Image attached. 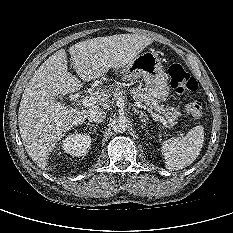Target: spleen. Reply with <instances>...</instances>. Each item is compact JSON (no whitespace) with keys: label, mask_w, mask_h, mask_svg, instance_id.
<instances>
[{"label":"spleen","mask_w":233,"mask_h":233,"mask_svg":"<svg viewBox=\"0 0 233 233\" xmlns=\"http://www.w3.org/2000/svg\"><path fill=\"white\" fill-rule=\"evenodd\" d=\"M204 143V128L195 126L184 137H174L163 141L161 151L165 159L166 168L180 170L190 164L200 154Z\"/></svg>","instance_id":"1"}]
</instances>
